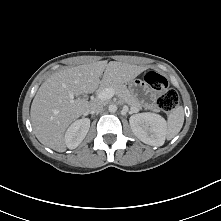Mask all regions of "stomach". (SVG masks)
Returning <instances> with one entry per match:
<instances>
[{
	"mask_svg": "<svg viewBox=\"0 0 221 221\" xmlns=\"http://www.w3.org/2000/svg\"><path fill=\"white\" fill-rule=\"evenodd\" d=\"M128 88L131 94L139 101L140 105L145 102L148 86L144 80L133 79L128 83Z\"/></svg>",
	"mask_w": 221,
	"mask_h": 221,
	"instance_id": "obj_1",
	"label": "stomach"
}]
</instances>
